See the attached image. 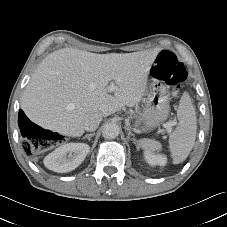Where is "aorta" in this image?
<instances>
[{"instance_id":"1","label":"aorta","mask_w":227,"mask_h":227,"mask_svg":"<svg viewBox=\"0 0 227 227\" xmlns=\"http://www.w3.org/2000/svg\"><path fill=\"white\" fill-rule=\"evenodd\" d=\"M120 133V127L116 123H106L102 129L103 137L107 139H114L118 137Z\"/></svg>"}]
</instances>
